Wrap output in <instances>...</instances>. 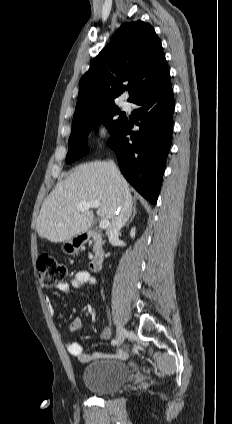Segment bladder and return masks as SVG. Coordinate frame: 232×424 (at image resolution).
<instances>
[{"instance_id":"31cf9c89","label":"bladder","mask_w":232,"mask_h":424,"mask_svg":"<svg viewBox=\"0 0 232 424\" xmlns=\"http://www.w3.org/2000/svg\"><path fill=\"white\" fill-rule=\"evenodd\" d=\"M128 377L129 367L125 362L102 359L85 366L82 382L93 393L108 395L118 391Z\"/></svg>"}]
</instances>
